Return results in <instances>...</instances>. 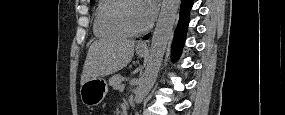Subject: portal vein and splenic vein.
<instances>
[{
    "label": "portal vein and splenic vein",
    "mask_w": 285,
    "mask_h": 115,
    "mask_svg": "<svg viewBox=\"0 0 285 115\" xmlns=\"http://www.w3.org/2000/svg\"><path fill=\"white\" fill-rule=\"evenodd\" d=\"M124 87H125L124 85H121L120 88H119V90H123Z\"/></svg>",
    "instance_id": "1"
}]
</instances>
